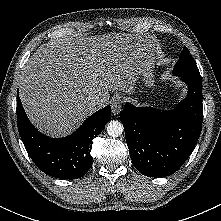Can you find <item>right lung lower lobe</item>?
Wrapping results in <instances>:
<instances>
[{
    "label": "right lung lower lobe",
    "mask_w": 221,
    "mask_h": 221,
    "mask_svg": "<svg viewBox=\"0 0 221 221\" xmlns=\"http://www.w3.org/2000/svg\"><path fill=\"white\" fill-rule=\"evenodd\" d=\"M111 116L110 106L95 112L70 136L50 138L29 121L17 93V125L20 137L36 166L55 178L82 177L92 166V140L103 130Z\"/></svg>",
    "instance_id": "right-lung-lower-lobe-1"
}]
</instances>
